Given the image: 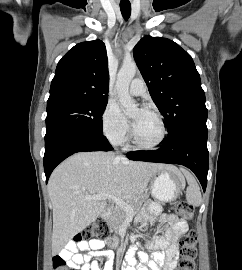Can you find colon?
Wrapping results in <instances>:
<instances>
[{"label":"colon","mask_w":242,"mask_h":270,"mask_svg":"<svg viewBox=\"0 0 242 270\" xmlns=\"http://www.w3.org/2000/svg\"><path fill=\"white\" fill-rule=\"evenodd\" d=\"M175 214L182 219L189 220L193 215V207L185 201L179 202L175 207ZM109 227L104 219H99L90 224L82 233L78 234L74 242H85L106 238L109 236ZM181 262L179 270H196L197 251V236L194 231L185 234L181 240ZM54 270H69L71 268L66 264L65 259L61 255H56L53 258Z\"/></svg>","instance_id":"5ec220e1"}]
</instances>
